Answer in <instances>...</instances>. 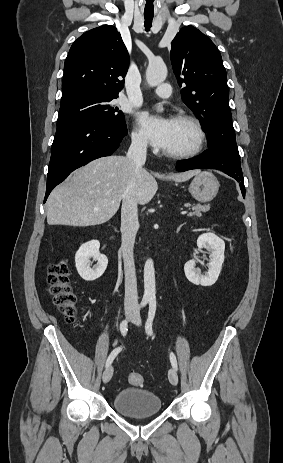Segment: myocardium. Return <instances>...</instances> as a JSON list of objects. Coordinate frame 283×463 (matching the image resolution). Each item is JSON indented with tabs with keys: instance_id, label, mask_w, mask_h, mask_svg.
<instances>
[{
	"instance_id": "f54148a6",
	"label": "myocardium",
	"mask_w": 283,
	"mask_h": 463,
	"mask_svg": "<svg viewBox=\"0 0 283 463\" xmlns=\"http://www.w3.org/2000/svg\"><path fill=\"white\" fill-rule=\"evenodd\" d=\"M174 120L184 122L191 126L196 135V141L192 148L181 151V152H167L164 151L163 154L171 159H190L197 156L204 148L206 141V133L202 123L193 115L190 114H179L175 116Z\"/></svg>"
}]
</instances>
